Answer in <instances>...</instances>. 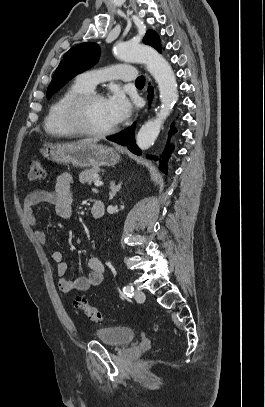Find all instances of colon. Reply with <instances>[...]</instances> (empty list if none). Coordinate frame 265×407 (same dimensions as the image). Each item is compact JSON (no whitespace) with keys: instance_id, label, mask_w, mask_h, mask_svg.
I'll return each instance as SVG.
<instances>
[{"instance_id":"5ec220e1","label":"colon","mask_w":265,"mask_h":407,"mask_svg":"<svg viewBox=\"0 0 265 407\" xmlns=\"http://www.w3.org/2000/svg\"><path fill=\"white\" fill-rule=\"evenodd\" d=\"M28 178L30 181H38L44 178V168L41 160L33 159L30 161ZM73 306L83 311L92 322L101 323L104 321L103 314L97 308L89 305L83 297H76L73 301ZM154 329L159 331L160 325L155 323Z\"/></svg>"}]
</instances>
